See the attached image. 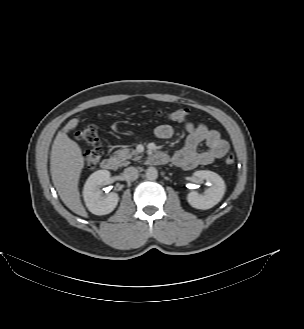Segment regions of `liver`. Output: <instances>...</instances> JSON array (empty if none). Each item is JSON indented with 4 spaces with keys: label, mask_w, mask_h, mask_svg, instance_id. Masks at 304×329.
Instances as JSON below:
<instances>
[{
    "label": "liver",
    "mask_w": 304,
    "mask_h": 329,
    "mask_svg": "<svg viewBox=\"0 0 304 329\" xmlns=\"http://www.w3.org/2000/svg\"><path fill=\"white\" fill-rule=\"evenodd\" d=\"M78 123V118L71 119L58 132L52 145L50 172L54 187L63 203L77 215L87 218L88 214L81 203L78 189L80 174L84 167V157L79 145L67 135Z\"/></svg>",
    "instance_id": "1"
}]
</instances>
